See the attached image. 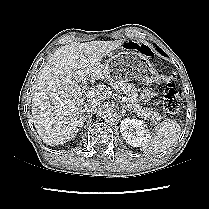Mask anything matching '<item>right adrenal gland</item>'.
<instances>
[{
  "label": "right adrenal gland",
  "instance_id": "1",
  "mask_svg": "<svg viewBox=\"0 0 209 209\" xmlns=\"http://www.w3.org/2000/svg\"><path fill=\"white\" fill-rule=\"evenodd\" d=\"M91 117H92V115H85L83 124H84L85 120H86V121H87V120H90Z\"/></svg>",
  "mask_w": 209,
  "mask_h": 209
}]
</instances>
